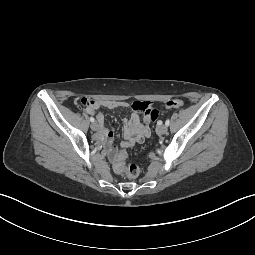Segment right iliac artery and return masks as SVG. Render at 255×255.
Instances as JSON below:
<instances>
[{"label":"right iliac artery","instance_id":"82829eb1","mask_svg":"<svg viewBox=\"0 0 255 255\" xmlns=\"http://www.w3.org/2000/svg\"><path fill=\"white\" fill-rule=\"evenodd\" d=\"M90 121H91V122H94L95 119H94L93 117H90Z\"/></svg>","mask_w":255,"mask_h":255}]
</instances>
